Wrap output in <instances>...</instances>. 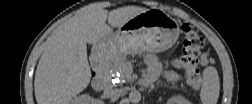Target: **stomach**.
<instances>
[{"label": "stomach", "mask_w": 252, "mask_h": 104, "mask_svg": "<svg viewBox=\"0 0 252 104\" xmlns=\"http://www.w3.org/2000/svg\"><path fill=\"white\" fill-rule=\"evenodd\" d=\"M179 36V23L160 9L134 16L95 45L98 54L110 60L142 52L159 53L171 48Z\"/></svg>", "instance_id": "1"}]
</instances>
